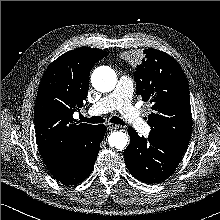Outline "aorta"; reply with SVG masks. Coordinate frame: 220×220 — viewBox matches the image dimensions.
<instances>
[{"label":"aorta","mask_w":220,"mask_h":220,"mask_svg":"<svg viewBox=\"0 0 220 220\" xmlns=\"http://www.w3.org/2000/svg\"><path fill=\"white\" fill-rule=\"evenodd\" d=\"M93 87L100 92L112 91L117 83V76L113 69L107 66H100L94 70L91 76ZM128 135L123 131L112 132L108 138V143L111 147L118 150L124 149L128 144Z\"/></svg>","instance_id":"aorta-1"}]
</instances>
